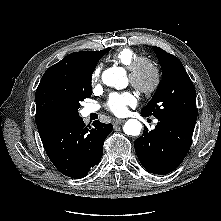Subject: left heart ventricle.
Listing matches in <instances>:
<instances>
[{"mask_svg": "<svg viewBox=\"0 0 221 221\" xmlns=\"http://www.w3.org/2000/svg\"><path fill=\"white\" fill-rule=\"evenodd\" d=\"M142 80L145 82V83H148L150 80H151V72L148 70V69H144L142 71Z\"/></svg>", "mask_w": 221, "mask_h": 221, "instance_id": "obj_1", "label": "left heart ventricle"}]
</instances>
